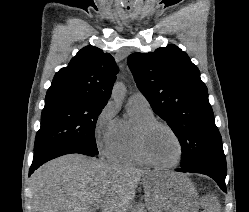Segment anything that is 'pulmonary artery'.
Returning a JSON list of instances; mask_svg holds the SVG:
<instances>
[{"mask_svg":"<svg viewBox=\"0 0 249 212\" xmlns=\"http://www.w3.org/2000/svg\"><path fill=\"white\" fill-rule=\"evenodd\" d=\"M129 103L141 107H150L147 98L141 92L133 93L129 98Z\"/></svg>","mask_w":249,"mask_h":212,"instance_id":"pulmonary-artery-1","label":"pulmonary artery"}]
</instances>
